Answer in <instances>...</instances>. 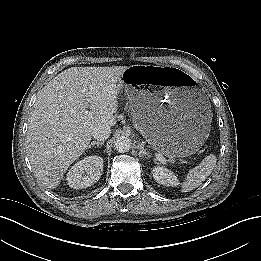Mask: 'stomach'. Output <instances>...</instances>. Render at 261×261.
<instances>
[{"instance_id": "0dacf381", "label": "stomach", "mask_w": 261, "mask_h": 261, "mask_svg": "<svg viewBox=\"0 0 261 261\" xmlns=\"http://www.w3.org/2000/svg\"><path fill=\"white\" fill-rule=\"evenodd\" d=\"M147 74L170 80L156 85L154 91L138 90L135 84ZM119 82L143 137L154 149L167 157H187L205 143L211 111L205 94L191 77L175 68L133 65Z\"/></svg>"}]
</instances>
